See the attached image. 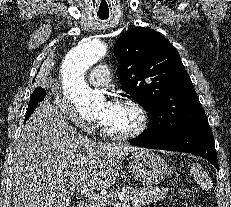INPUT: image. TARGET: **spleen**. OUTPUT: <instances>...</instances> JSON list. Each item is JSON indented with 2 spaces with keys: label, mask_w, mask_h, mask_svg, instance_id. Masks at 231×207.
<instances>
[{
  "label": "spleen",
  "mask_w": 231,
  "mask_h": 207,
  "mask_svg": "<svg viewBox=\"0 0 231 207\" xmlns=\"http://www.w3.org/2000/svg\"><path fill=\"white\" fill-rule=\"evenodd\" d=\"M191 174L194 176V179L197 182H201V166L199 164H192L191 166V170H190Z\"/></svg>",
  "instance_id": "1"
}]
</instances>
